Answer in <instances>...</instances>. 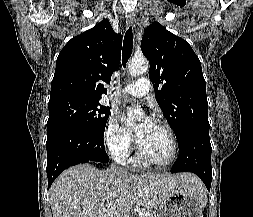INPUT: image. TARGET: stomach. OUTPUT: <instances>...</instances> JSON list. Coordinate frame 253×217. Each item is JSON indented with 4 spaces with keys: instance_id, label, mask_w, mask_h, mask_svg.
<instances>
[{
    "instance_id": "0dacf381",
    "label": "stomach",
    "mask_w": 253,
    "mask_h": 217,
    "mask_svg": "<svg viewBox=\"0 0 253 217\" xmlns=\"http://www.w3.org/2000/svg\"><path fill=\"white\" fill-rule=\"evenodd\" d=\"M203 207L199 195L179 189L171 192L155 213L157 217H203Z\"/></svg>"
}]
</instances>
